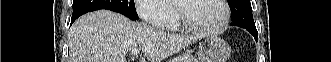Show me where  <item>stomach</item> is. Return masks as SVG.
<instances>
[{"mask_svg":"<svg viewBox=\"0 0 331 62\" xmlns=\"http://www.w3.org/2000/svg\"><path fill=\"white\" fill-rule=\"evenodd\" d=\"M230 55V46L220 38L209 36L199 44L198 58L200 62H227Z\"/></svg>","mask_w":331,"mask_h":62,"instance_id":"obj_1","label":"stomach"}]
</instances>
